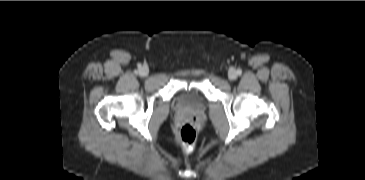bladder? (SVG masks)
Here are the masks:
<instances>
[{"label": "bladder", "instance_id": "1", "mask_svg": "<svg viewBox=\"0 0 365 180\" xmlns=\"http://www.w3.org/2000/svg\"><path fill=\"white\" fill-rule=\"evenodd\" d=\"M206 98L202 91L197 89L183 90L177 96V104L184 109H200L206 105Z\"/></svg>", "mask_w": 365, "mask_h": 180}]
</instances>
